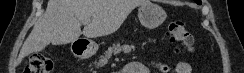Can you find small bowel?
<instances>
[{"label":"small bowel","instance_id":"obj_1","mask_svg":"<svg viewBox=\"0 0 244 73\" xmlns=\"http://www.w3.org/2000/svg\"><path fill=\"white\" fill-rule=\"evenodd\" d=\"M151 66L158 69L160 73H170V67L160 62H151L145 64L140 61H131L127 63L120 73H151ZM175 73H191V66L187 62H179L174 69Z\"/></svg>","mask_w":244,"mask_h":73}]
</instances>
